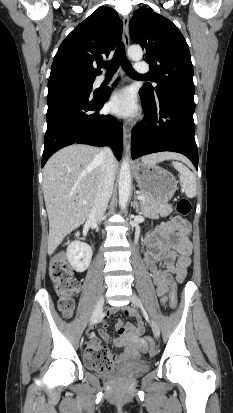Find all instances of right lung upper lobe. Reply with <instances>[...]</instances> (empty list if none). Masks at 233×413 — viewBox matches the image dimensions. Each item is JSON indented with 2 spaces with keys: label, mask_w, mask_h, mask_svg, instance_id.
Returning <instances> with one entry per match:
<instances>
[{
  "label": "right lung upper lobe",
  "mask_w": 233,
  "mask_h": 413,
  "mask_svg": "<svg viewBox=\"0 0 233 413\" xmlns=\"http://www.w3.org/2000/svg\"><path fill=\"white\" fill-rule=\"evenodd\" d=\"M122 21L110 7H101L81 22L61 43L49 81L65 77L95 78L103 58L121 39Z\"/></svg>",
  "instance_id": "obj_1"
}]
</instances>
